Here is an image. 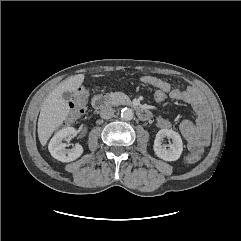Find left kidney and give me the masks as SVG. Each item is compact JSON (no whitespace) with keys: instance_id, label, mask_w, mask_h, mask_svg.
I'll return each instance as SVG.
<instances>
[{"instance_id":"5707ae66","label":"left kidney","mask_w":241,"mask_h":241,"mask_svg":"<svg viewBox=\"0 0 241 241\" xmlns=\"http://www.w3.org/2000/svg\"><path fill=\"white\" fill-rule=\"evenodd\" d=\"M165 137L171 138L172 140V144L168 149L162 145ZM153 148L159 158L165 161H176L180 158L183 151L181 136L172 129H161L156 134Z\"/></svg>"}]
</instances>
